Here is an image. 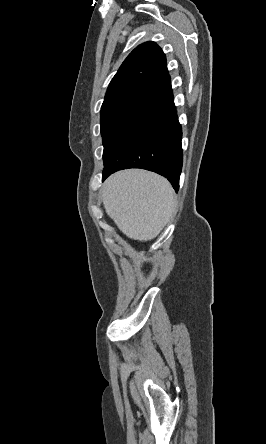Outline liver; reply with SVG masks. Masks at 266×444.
Segmentation results:
<instances>
[{
  "label": "liver",
  "mask_w": 266,
  "mask_h": 444,
  "mask_svg": "<svg viewBox=\"0 0 266 444\" xmlns=\"http://www.w3.org/2000/svg\"><path fill=\"white\" fill-rule=\"evenodd\" d=\"M106 213L129 238L154 239L166 226L176 204L172 186L164 177L139 169L119 171L102 187Z\"/></svg>",
  "instance_id": "obj_1"
}]
</instances>
